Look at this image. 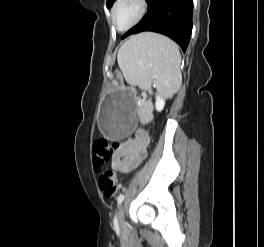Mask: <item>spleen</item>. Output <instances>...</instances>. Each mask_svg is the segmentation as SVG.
Instances as JSON below:
<instances>
[{"label": "spleen", "mask_w": 264, "mask_h": 247, "mask_svg": "<svg viewBox=\"0 0 264 247\" xmlns=\"http://www.w3.org/2000/svg\"><path fill=\"white\" fill-rule=\"evenodd\" d=\"M118 65L130 85L150 89L152 79L165 95L175 94L181 87V55L169 38L152 32L131 37L118 51Z\"/></svg>", "instance_id": "obj_1"}]
</instances>
